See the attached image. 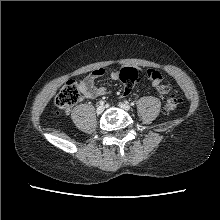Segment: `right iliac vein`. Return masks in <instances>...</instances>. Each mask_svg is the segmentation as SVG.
<instances>
[{
	"label": "right iliac vein",
	"mask_w": 220,
	"mask_h": 220,
	"mask_svg": "<svg viewBox=\"0 0 220 220\" xmlns=\"http://www.w3.org/2000/svg\"><path fill=\"white\" fill-rule=\"evenodd\" d=\"M105 107L103 105H99L96 109L97 114L103 113Z\"/></svg>",
	"instance_id": "63e3f726"
}]
</instances>
